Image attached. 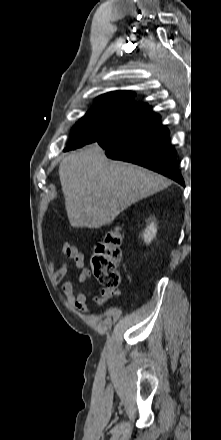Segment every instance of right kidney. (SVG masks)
Instances as JSON below:
<instances>
[{
    "label": "right kidney",
    "mask_w": 221,
    "mask_h": 440,
    "mask_svg": "<svg viewBox=\"0 0 221 440\" xmlns=\"http://www.w3.org/2000/svg\"><path fill=\"white\" fill-rule=\"evenodd\" d=\"M157 227L154 222L150 223L143 233V239L146 244H149L156 236Z\"/></svg>",
    "instance_id": "obj_1"
}]
</instances>
